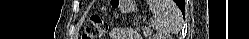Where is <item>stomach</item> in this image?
I'll use <instances>...</instances> for the list:
<instances>
[{"instance_id":"stomach-1","label":"stomach","mask_w":249,"mask_h":39,"mask_svg":"<svg viewBox=\"0 0 249 39\" xmlns=\"http://www.w3.org/2000/svg\"><path fill=\"white\" fill-rule=\"evenodd\" d=\"M121 10H123V12H131L134 10L133 5H132V1L131 0H122V7Z\"/></svg>"}]
</instances>
